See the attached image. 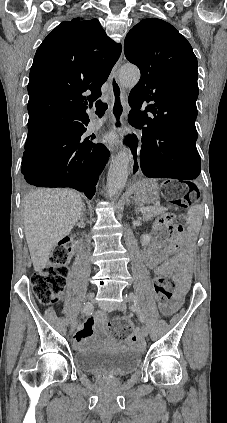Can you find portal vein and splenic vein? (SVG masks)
<instances>
[{
	"label": "portal vein and splenic vein",
	"mask_w": 227,
	"mask_h": 423,
	"mask_svg": "<svg viewBox=\"0 0 227 423\" xmlns=\"http://www.w3.org/2000/svg\"><path fill=\"white\" fill-rule=\"evenodd\" d=\"M152 210H157V208H151V206H149V208H140L139 211H152Z\"/></svg>",
	"instance_id": "18ae733b"
}]
</instances>
